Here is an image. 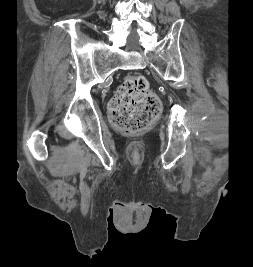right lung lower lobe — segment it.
I'll return each mask as SVG.
<instances>
[{
    "label": "right lung lower lobe",
    "mask_w": 253,
    "mask_h": 267,
    "mask_svg": "<svg viewBox=\"0 0 253 267\" xmlns=\"http://www.w3.org/2000/svg\"><path fill=\"white\" fill-rule=\"evenodd\" d=\"M153 213H154V214H155V213L160 214V213H163V212H162V211H156V210H154Z\"/></svg>",
    "instance_id": "1"
}]
</instances>
